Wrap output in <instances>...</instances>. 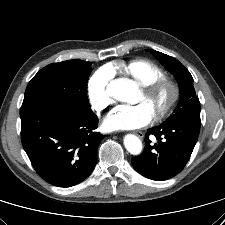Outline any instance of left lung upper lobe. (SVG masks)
<instances>
[{
    "label": "left lung upper lobe",
    "instance_id": "obj_1",
    "mask_svg": "<svg viewBox=\"0 0 225 225\" xmlns=\"http://www.w3.org/2000/svg\"><path fill=\"white\" fill-rule=\"evenodd\" d=\"M148 51L156 56L167 70L176 77L180 87V101L173 114L162 124L179 121L200 122V102L196 95L193 78L189 71L178 60L169 55L152 49Z\"/></svg>",
    "mask_w": 225,
    "mask_h": 225
}]
</instances>
